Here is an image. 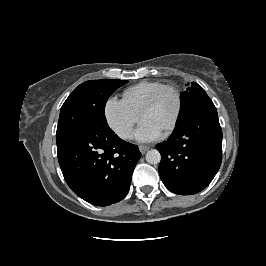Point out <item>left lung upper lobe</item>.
Returning a JSON list of instances; mask_svg holds the SVG:
<instances>
[{
    "label": "left lung upper lobe",
    "mask_w": 266,
    "mask_h": 266,
    "mask_svg": "<svg viewBox=\"0 0 266 266\" xmlns=\"http://www.w3.org/2000/svg\"><path fill=\"white\" fill-rule=\"evenodd\" d=\"M181 99L182 112L180 120L200 103L210 100L205 90L195 82H193V85L189 87L185 92L181 93Z\"/></svg>",
    "instance_id": "left-lung-upper-lobe-1"
}]
</instances>
